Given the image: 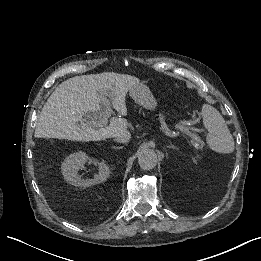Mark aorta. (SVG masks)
I'll use <instances>...</instances> for the list:
<instances>
[{"label":"aorta","instance_id":"obj_1","mask_svg":"<svg viewBox=\"0 0 261 261\" xmlns=\"http://www.w3.org/2000/svg\"><path fill=\"white\" fill-rule=\"evenodd\" d=\"M138 163L143 170H151L157 164V155L152 149H143L138 155Z\"/></svg>","mask_w":261,"mask_h":261}]
</instances>
